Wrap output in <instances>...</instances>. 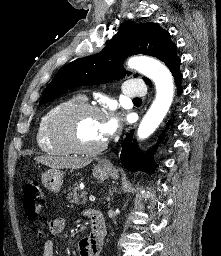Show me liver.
I'll list each match as a JSON object with an SVG mask.
<instances>
[{
    "instance_id": "1",
    "label": "liver",
    "mask_w": 221,
    "mask_h": 256,
    "mask_svg": "<svg viewBox=\"0 0 221 256\" xmlns=\"http://www.w3.org/2000/svg\"><path fill=\"white\" fill-rule=\"evenodd\" d=\"M35 160L37 161V163H41L52 169H79L85 167L91 162V160L89 159H82L78 157H56L46 155L38 156L35 158Z\"/></svg>"
}]
</instances>
